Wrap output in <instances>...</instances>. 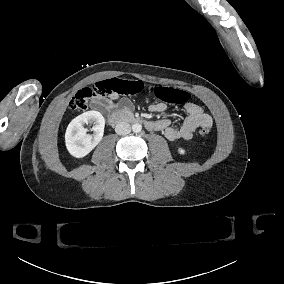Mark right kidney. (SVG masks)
I'll return each mask as SVG.
<instances>
[{
  "instance_id": "obj_1",
  "label": "right kidney",
  "mask_w": 284,
  "mask_h": 284,
  "mask_svg": "<svg viewBox=\"0 0 284 284\" xmlns=\"http://www.w3.org/2000/svg\"><path fill=\"white\" fill-rule=\"evenodd\" d=\"M94 123V134H88L84 124ZM105 119L97 111H88L73 119L66 130L65 144L69 154L75 158L87 156L102 140Z\"/></svg>"
}]
</instances>
